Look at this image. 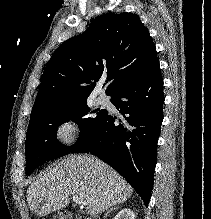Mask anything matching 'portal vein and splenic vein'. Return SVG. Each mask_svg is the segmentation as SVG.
<instances>
[{
	"instance_id": "portal-vein-and-splenic-vein-1",
	"label": "portal vein and splenic vein",
	"mask_w": 211,
	"mask_h": 219,
	"mask_svg": "<svg viewBox=\"0 0 211 219\" xmlns=\"http://www.w3.org/2000/svg\"><path fill=\"white\" fill-rule=\"evenodd\" d=\"M72 199L76 204L84 205L83 200L81 198H79L77 195H73Z\"/></svg>"
}]
</instances>
